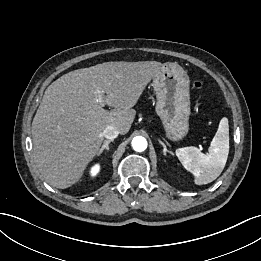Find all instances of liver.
Wrapping results in <instances>:
<instances>
[{"label": "liver", "mask_w": 261, "mask_h": 261, "mask_svg": "<svg viewBox=\"0 0 261 261\" xmlns=\"http://www.w3.org/2000/svg\"><path fill=\"white\" fill-rule=\"evenodd\" d=\"M157 61L105 62L71 71L45 91L32 122L33 159L44 180L65 189L98 156L103 131L129 132L145 87L163 68ZM103 90L104 109L96 91Z\"/></svg>", "instance_id": "obj_1"}]
</instances>
